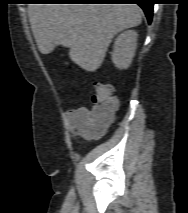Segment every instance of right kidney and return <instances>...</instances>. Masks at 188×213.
Returning a JSON list of instances; mask_svg holds the SVG:
<instances>
[{
  "label": "right kidney",
  "mask_w": 188,
  "mask_h": 213,
  "mask_svg": "<svg viewBox=\"0 0 188 213\" xmlns=\"http://www.w3.org/2000/svg\"><path fill=\"white\" fill-rule=\"evenodd\" d=\"M138 34L134 30L121 33L115 40L112 61L119 69H127L134 57Z\"/></svg>",
  "instance_id": "1"
}]
</instances>
